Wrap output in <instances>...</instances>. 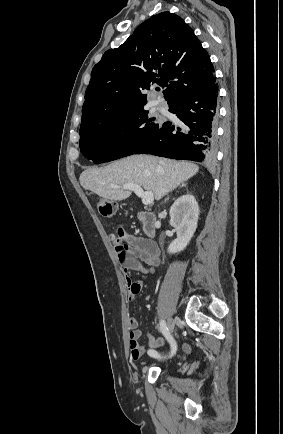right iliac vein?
<instances>
[{
  "instance_id": "right-iliac-vein-1",
  "label": "right iliac vein",
  "mask_w": 283,
  "mask_h": 434,
  "mask_svg": "<svg viewBox=\"0 0 283 434\" xmlns=\"http://www.w3.org/2000/svg\"><path fill=\"white\" fill-rule=\"evenodd\" d=\"M175 327V322L173 318H169L167 321V328H168V332L169 334H171L174 330Z\"/></svg>"
}]
</instances>
